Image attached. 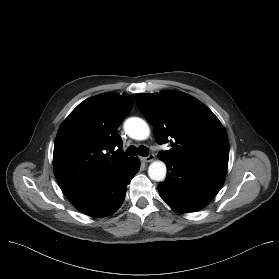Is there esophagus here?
<instances>
[{"label": "esophagus", "mask_w": 279, "mask_h": 279, "mask_svg": "<svg viewBox=\"0 0 279 279\" xmlns=\"http://www.w3.org/2000/svg\"><path fill=\"white\" fill-rule=\"evenodd\" d=\"M154 159H155V155L154 154H150L147 157H143L142 161L145 162V163H149V162L154 161Z\"/></svg>", "instance_id": "obj_1"}]
</instances>
